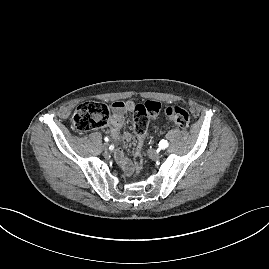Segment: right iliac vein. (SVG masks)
I'll return each mask as SVG.
<instances>
[{"label": "right iliac vein", "instance_id": "right-iliac-vein-1", "mask_svg": "<svg viewBox=\"0 0 269 269\" xmlns=\"http://www.w3.org/2000/svg\"><path fill=\"white\" fill-rule=\"evenodd\" d=\"M102 147H103V149H104L105 151H107L108 148H109V144H108V143H104Z\"/></svg>", "mask_w": 269, "mask_h": 269}]
</instances>
